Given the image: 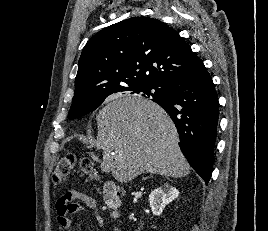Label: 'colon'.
I'll return each instance as SVG.
<instances>
[{
	"label": "colon",
	"mask_w": 268,
	"mask_h": 231,
	"mask_svg": "<svg viewBox=\"0 0 268 231\" xmlns=\"http://www.w3.org/2000/svg\"><path fill=\"white\" fill-rule=\"evenodd\" d=\"M76 159L74 156H65L61 158L54 167L53 170V182L61 184L67 181L74 166ZM81 171L89 176H95L97 174L96 168H94L88 160H82L80 162Z\"/></svg>",
	"instance_id": "colon-1"
}]
</instances>
